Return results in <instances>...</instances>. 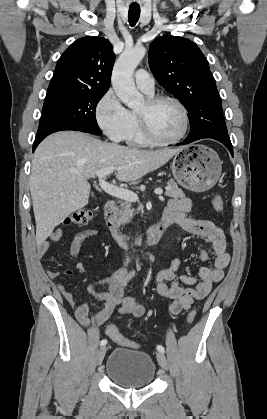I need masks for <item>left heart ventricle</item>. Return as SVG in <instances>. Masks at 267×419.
Instances as JSON below:
<instances>
[{"label":"left heart ventricle","mask_w":267,"mask_h":419,"mask_svg":"<svg viewBox=\"0 0 267 419\" xmlns=\"http://www.w3.org/2000/svg\"><path fill=\"white\" fill-rule=\"evenodd\" d=\"M137 112L147 115L152 131L161 139H173L183 128L182 113L172 102L164 101L151 109L144 102Z\"/></svg>","instance_id":"1"}]
</instances>
